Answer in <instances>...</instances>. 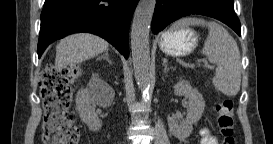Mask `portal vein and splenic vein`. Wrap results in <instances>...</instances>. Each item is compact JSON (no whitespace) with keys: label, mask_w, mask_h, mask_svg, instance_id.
<instances>
[{"label":"portal vein and splenic vein","mask_w":273,"mask_h":144,"mask_svg":"<svg viewBox=\"0 0 273 144\" xmlns=\"http://www.w3.org/2000/svg\"><path fill=\"white\" fill-rule=\"evenodd\" d=\"M206 67H210L209 64L207 62L204 63Z\"/></svg>","instance_id":"obj_1"}]
</instances>
